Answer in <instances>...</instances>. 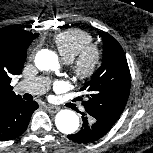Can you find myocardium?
<instances>
[{"label": "myocardium", "mask_w": 153, "mask_h": 153, "mask_svg": "<svg viewBox=\"0 0 153 153\" xmlns=\"http://www.w3.org/2000/svg\"><path fill=\"white\" fill-rule=\"evenodd\" d=\"M102 50L96 44L86 45L72 61V73L76 80L87 82L91 80L102 63Z\"/></svg>", "instance_id": "obj_1"}]
</instances>
